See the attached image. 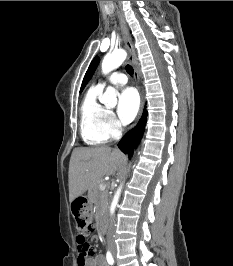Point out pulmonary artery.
<instances>
[{"mask_svg":"<svg viewBox=\"0 0 233 266\" xmlns=\"http://www.w3.org/2000/svg\"><path fill=\"white\" fill-rule=\"evenodd\" d=\"M128 81L126 74L122 72H114L112 73L107 82L114 84V85H124ZM106 82H100L97 84L98 87L103 88L105 86Z\"/></svg>","mask_w":233,"mask_h":266,"instance_id":"e3ab8cb5","label":"pulmonary artery"}]
</instances>
